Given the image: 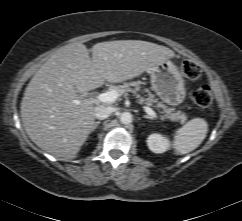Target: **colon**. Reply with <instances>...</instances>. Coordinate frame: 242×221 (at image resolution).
<instances>
[{
    "instance_id": "obj_1",
    "label": "colon",
    "mask_w": 242,
    "mask_h": 221,
    "mask_svg": "<svg viewBox=\"0 0 242 221\" xmlns=\"http://www.w3.org/2000/svg\"><path fill=\"white\" fill-rule=\"evenodd\" d=\"M183 74L190 79H196L201 75V67L191 61L185 60L181 64ZM193 100L201 108H207L211 105L213 94L211 87L208 84H203L193 94Z\"/></svg>"
}]
</instances>
